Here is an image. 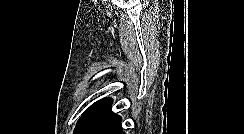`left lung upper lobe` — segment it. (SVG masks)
Listing matches in <instances>:
<instances>
[{"label": "left lung upper lobe", "instance_id": "5c2ea615", "mask_svg": "<svg viewBox=\"0 0 244 134\" xmlns=\"http://www.w3.org/2000/svg\"><path fill=\"white\" fill-rule=\"evenodd\" d=\"M111 105L110 98L93 103L78 120L74 134H94L104 122L115 115L111 110Z\"/></svg>", "mask_w": 244, "mask_h": 134}]
</instances>
